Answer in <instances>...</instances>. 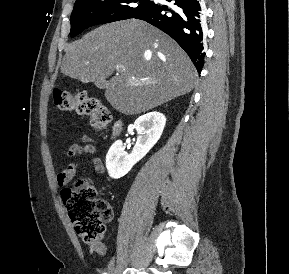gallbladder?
Returning a JSON list of instances; mask_svg holds the SVG:
<instances>
[{"mask_svg": "<svg viewBox=\"0 0 289 274\" xmlns=\"http://www.w3.org/2000/svg\"><path fill=\"white\" fill-rule=\"evenodd\" d=\"M96 87L100 88V89H105L106 87V82L102 81V82H97L95 83Z\"/></svg>", "mask_w": 289, "mask_h": 274, "instance_id": "bac80fb5", "label": "gallbladder"}]
</instances>
